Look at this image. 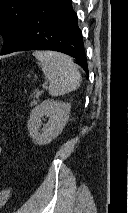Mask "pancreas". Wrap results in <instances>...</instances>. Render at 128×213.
<instances>
[{"mask_svg":"<svg viewBox=\"0 0 128 213\" xmlns=\"http://www.w3.org/2000/svg\"><path fill=\"white\" fill-rule=\"evenodd\" d=\"M38 103L37 99H34L33 101L30 102V106H35Z\"/></svg>","mask_w":128,"mask_h":213,"instance_id":"cf45deb5","label":"pancreas"}]
</instances>
